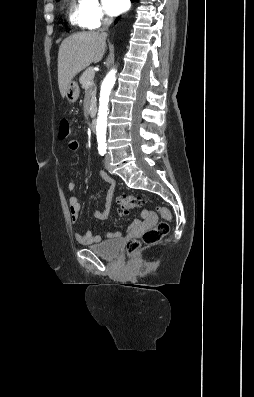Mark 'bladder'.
Returning a JSON list of instances; mask_svg holds the SVG:
<instances>
[{
  "label": "bladder",
  "mask_w": 254,
  "mask_h": 397,
  "mask_svg": "<svg viewBox=\"0 0 254 397\" xmlns=\"http://www.w3.org/2000/svg\"><path fill=\"white\" fill-rule=\"evenodd\" d=\"M120 245L121 242L119 239H112L96 245H91L88 249L102 258L114 259L119 254Z\"/></svg>",
  "instance_id": "obj_1"
}]
</instances>
